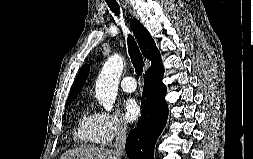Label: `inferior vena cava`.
<instances>
[{
	"label": "inferior vena cava",
	"instance_id": "inferior-vena-cava-1",
	"mask_svg": "<svg viewBox=\"0 0 253 159\" xmlns=\"http://www.w3.org/2000/svg\"><path fill=\"white\" fill-rule=\"evenodd\" d=\"M126 142V126L123 124H119L116 132V140H115V152L118 155H122L125 148Z\"/></svg>",
	"mask_w": 253,
	"mask_h": 159
}]
</instances>
